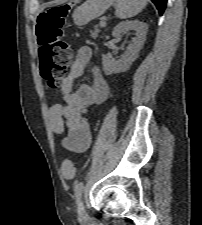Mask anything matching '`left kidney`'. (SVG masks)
<instances>
[{
	"instance_id": "obj_1",
	"label": "left kidney",
	"mask_w": 202,
	"mask_h": 225,
	"mask_svg": "<svg viewBox=\"0 0 202 225\" xmlns=\"http://www.w3.org/2000/svg\"><path fill=\"white\" fill-rule=\"evenodd\" d=\"M127 30H134L136 32V37L132 39L126 53L118 60L110 58L107 55H103L102 57L103 69L107 75L125 72L129 69L131 64L137 59L139 51L146 40L148 25L139 20L122 21L116 25L112 35L113 37L120 39L122 33Z\"/></svg>"
}]
</instances>
